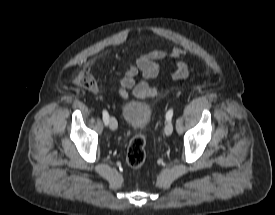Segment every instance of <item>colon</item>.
I'll list each match as a JSON object with an SVG mask.
<instances>
[{
  "label": "colon",
  "instance_id": "colon-1",
  "mask_svg": "<svg viewBox=\"0 0 275 215\" xmlns=\"http://www.w3.org/2000/svg\"><path fill=\"white\" fill-rule=\"evenodd\" d=\"M74 81L89 91H95L97 89L95 79L88 73L83 72L77 74ZM146 140L147 138L144 133H138L131 139L126 156L127 164L131 168L138 169L144 163Z\"/></svg>",
  "mask_w": 275,
  "mask_h": 215
}]
</instances>
